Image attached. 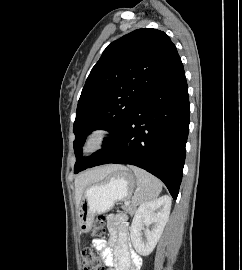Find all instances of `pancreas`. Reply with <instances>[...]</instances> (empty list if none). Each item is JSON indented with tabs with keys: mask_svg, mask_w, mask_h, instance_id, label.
Returning <instances> with one entry per match:
<instances>
[{
	"mask_svg": "<svg viewBox=\"0 0 242 270\" xmlns=\"http://www.w3.org/2000/svg\"><path fill=\"white\" fill-rule=\"evenodd\" d=\"M122 208L126 211V212H128V213H130V214H133L135 211H136V206H135V204L133 203V204H125L124 206H122Z\"/></svg>",
	"mask_w": 242,
	"mask_h": 270,
	"instance_id": "pancreas-1",
	"label": "pancreas"
}]
</instances>
